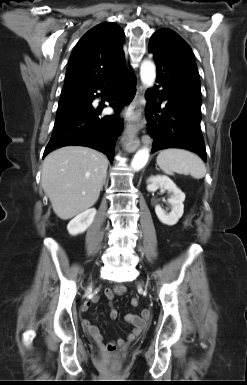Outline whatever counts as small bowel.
I'll use <instances>...</instances> for the list:
<instances>
[{
  "label": "small bowel",
  "instance_id": "1",
  "mask_svg": "<svg viewBox=\"0 0 247 385\" xmlns=\"http://www.w3.org/2000/svg\"><path fill=\"white\" fill-rule=\"evenodd\" d=\"M124 291L122 286L115 287L113 290L105 289L104 295L107 299L112 301L115 294H121ZM99 299L98 295L92 296L88 301L83 303L81 306V311L84 312L88 309L91 303L97 302ZM109 316L111 319H116L118 316V311L115 308H111ZM151 313L149 310H142L139 314H126L125 321L133 326V330L126 336L125 339H118L109 344L114 345L115 347H124L127 343L133 341L136 337H138L142 330L145 328L148 320L150 319ZM82 325L88 334L94 339V341L102 348L107 349L109 344H105L103 335L101 334L99 328L95 326L90 320L83 319Z\"/></svg>",
  "mask_w": 247,
  "mask_h": 385
}]
</instances>
